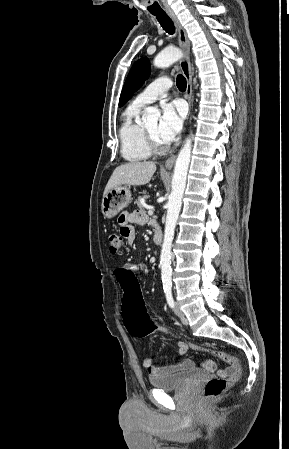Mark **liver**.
<instances>
[{
  "label": "liver",
  "mask_w": 289,
  "mask_h": 449,
  "mask_svg": "<svg viewBox=\"0 0 289 449\" xmlns=\"http://www.w3.org/2000/svg\"><path fill=\"white\" fill-rule=\"evenodd\" d=\"M156 171V164L151 161L130 162L118 166L112 173L103 196L111 189L121 185L141 186L150 182Z\"/></svg>",
  "instance_id": "obj_1"
}]
</instances>
